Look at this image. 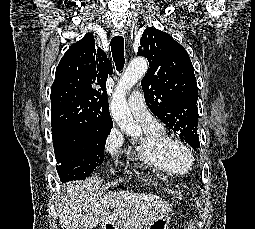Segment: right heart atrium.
<instances>
[{"label": "right heart atrium", "mask_w": 255, "mask_h": 229, "mask_svg": "<svg viewBox=\"0 0 255 229\" xmlns=\"http://www.w3.org/2000/svg\"><path fill=\"white\" fill-rule=\"evenodd\" d=\"M122 136L117 130H113L105 143V150L110 155H115L119 152L122 146Z\"/></svg>", "instance_id": "d8ad5b80"}]
</instances>
